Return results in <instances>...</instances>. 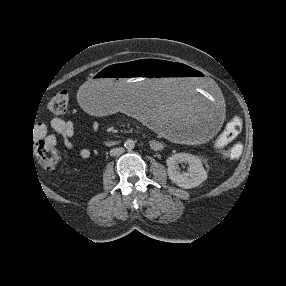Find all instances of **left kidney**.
Wrapping results in <instances>:
<instances>
[{"instance_id":"obj_1","label":"left kidney","mask_w":286,"mask_h":286,"mask_svg":"<svg viewBox=\"0 0 286 286\" xmlns=\"http://www.w3.org/2000/svg\"><path fill=\"white\" fill-rule=\"evenodd\" d=\"M179 163L189 165L188 172L178 171ZM167 172L169 179L181 188L190 189L199 186L207 179V172L201 159L188 153H177L167 158Z\"/></svg>"}]
</instances>
